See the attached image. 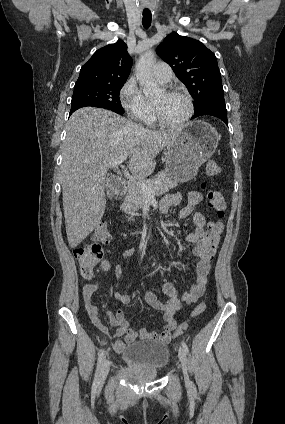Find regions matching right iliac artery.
<instances>
[{"label":"right iliac artery","instance_id":"82829eb1","mask_svg":"<svg viewBox=\"0 0 285 424\" xmlns=\"http://www.w3.org/2000/svg\"><path fill=\"white\" fill-rule=\"evenodd\" d=\"M105 356V351L103 350L98 357V361H97V369H96V373H95V377H94V381H93V385H92V389L96 390L98 387V383H99V371H100V367L102 364V361L104 359Z\"/></svg>","mask_w":285,"mask_h":424}]
</instances>
